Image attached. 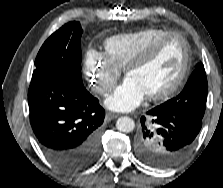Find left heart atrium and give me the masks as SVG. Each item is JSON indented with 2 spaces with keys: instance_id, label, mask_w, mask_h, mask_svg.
<instances>
[{
  "instance_id": "1",
  "label": "left heart atrium",
  "mask_w": 223,
  "mask_h": 188,
  "mask_svg": "<svg viewBox=\"0 0 223 188\" xmlns=\"http://www.w3.org/2000/svg\"><path fill=\"white\" fill-rule=\"evenodd\" d=\"M146 94L140 86L130 78H126L115 91L107 97L105 104L115 111H130L141 104Z\"/></svg>"
}]
</instances>
